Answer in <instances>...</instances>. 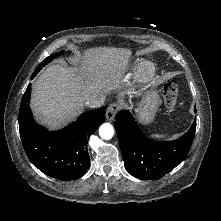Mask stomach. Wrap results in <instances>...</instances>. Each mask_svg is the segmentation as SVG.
Returning a JSON list of instances; mask_svg holds the SVG:
<instances>
[{"label": "stomach", "instance_id": "obj_1", "mask_svg": "<svg viewBox=\"0 0 221 221\" xmlns=\"http://www.w3.org/2000/svg\"><path fill=\"white\" fill-rule=\"evenodd\" d=\"M160 105V97L158 92L150 87L144 91L141 102L135 110L139 121L148 124L153 121L156 111Z\"/></svg>", "mask_w": 221, "mask_h": 221}]
</instances>
